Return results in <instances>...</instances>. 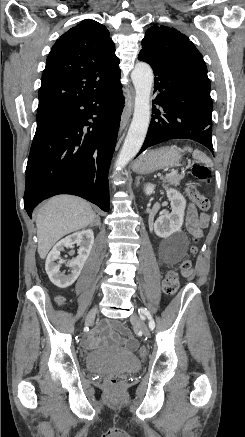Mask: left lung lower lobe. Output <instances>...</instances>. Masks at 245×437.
<instances>
[{
  "label": "left lung lower lobe",
  "mask_w": 245,
  "mask_h": 437,
  "mask_svg": "<svg viewBox=\"0 0 245 437\" xmlns=\"http://www.w3.org/2000/svg\"><path fill=\"white\" fill-rule=\"evenodd\" d=\"M138 59L147 62L154 71V89L158 94L153 103L161 110L153 105L155 115L137 156L153 145L178 138L197 141L213 152L210 89L161 67L144 55Z\"/></svg>",
  "instance_id": "obj_1"
}]
</instances>
